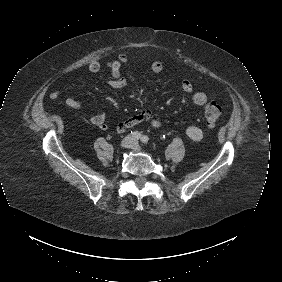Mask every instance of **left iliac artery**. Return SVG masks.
<instances>
[{"mask_svg": "<svg viewBox=\"0 0 282 282\" xmlns=\"http://www.w3.org/2000/svg\"><path fill=\"white\" fill-rule=\"evenodd\" d=\"M148 141H149L148 136L144 135V136L141 137V142L142 143H148Z\"/></svg>", "mask_w": 282, "mask_h": 282, "instance_id": "1", "label": "left iliac artery"}]
</instances>
